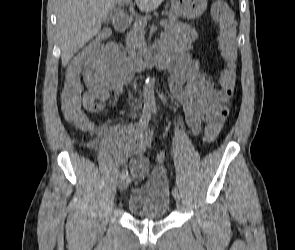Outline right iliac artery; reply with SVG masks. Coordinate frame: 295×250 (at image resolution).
Wrapping results in <instances>:
<instances>
[{
    "label": "right iliac artery",
    "instance_id": "obj_1",
    "mask_svg": "<svg viewBox=\"0 0 295 250\" xmlns=\"http://www.w3.org/2000/svg\"><path fill=\"white\" fill-rule=\"evenodd\" d=\"M150 118H151V110L149 109H144L143 110V113H142V117H141V125L142 126H147L149 121H150ZM128 175V171L127 170H123L122 173H121V177H125Z\"/></svg>",
    "mask_w": 295,
    "mask_h": 250
}]
</instances>
